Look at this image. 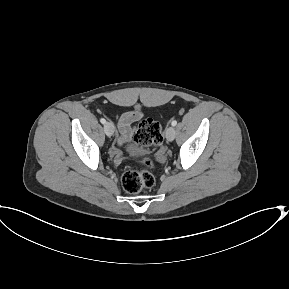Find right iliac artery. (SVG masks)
Instances as JSON below:
<instances>
[{
  "label": "right iliac artery",
  "mask_w": 289,
  "mask_h": 289,
  "mask_svg": "<svg viewBox=\"0 0 289 289\" xmlns=\"http://www.w3.org/2000/svg\"><path fill=\"white\" fill-rule=\"evenodd\" d=\"M100 122H101L102 124H105V123H106V120H105L104 118H101V119H100Z\"/></svg>",
  "instance_id": "right-iliac-artery-1"
}]
</instances>
